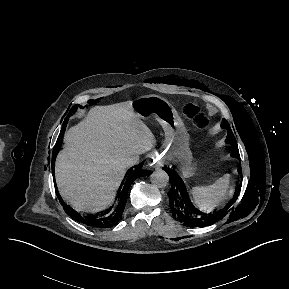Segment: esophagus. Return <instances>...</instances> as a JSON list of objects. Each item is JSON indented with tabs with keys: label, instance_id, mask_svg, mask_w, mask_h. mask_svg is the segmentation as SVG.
<instances>
[{
	"label": "esophagus",
	"instance_id": "esophagus-1",
	"mask_svg": "<svg viewBox=\"0 0 289 289\" xmlns=\"http://www.w3.org/2000/svg\"><path fill=\"white\" fill-rule=\"evenodd\" d=\"M148 164H149L150 166H152L153 168H157V167L161 166V162L158 161V159L155 158V157H150V158L148 159Z\"/></svg>",
	"mask_w": 289,
	"mask_h": 289
}]
</instances>
